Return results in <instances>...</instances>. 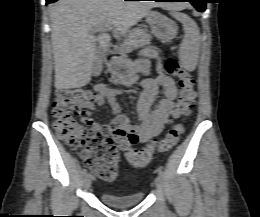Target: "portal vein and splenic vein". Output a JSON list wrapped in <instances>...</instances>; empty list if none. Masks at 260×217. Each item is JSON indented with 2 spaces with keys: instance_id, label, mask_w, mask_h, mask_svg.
<instances>
[{
  "instance_id": "1",
  "label": "portal vein and splenic vein",
  "mask_w": 260,
  "mask_h": 217,
  "mask_svg": "<svg viewBox=\"0 0 260 217\" xmlns=\"http://www.w3.org/2000/svg\"><path fill=\"white\" fill-rule=\"evenodd\" d=\"M113 28V25L110 24H106L100 27H96L94 29H92V33H96V32H100V31H109Z\"/></svg>"
}]
</instances>
